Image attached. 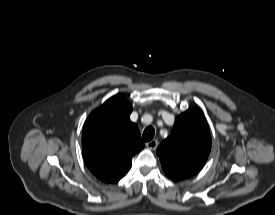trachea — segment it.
I'll use <instances>...</instances> for the list:
<instances>
[{
    "mask_svg": "<svg viewBox=\"0 0 275 215\" xmlns=\"http://www.w3.org/2000/svg\"><path fill=\"white\" fill-rule=\"evenodd\" d=\"M155 130L153 127H147L143 132V140L148 142L151 141L154 137Z\"/></svg>",
    "mask_w": 275,
    "mask_h": 215,
    "instance_id": "1",
    "label": "trachea"
}]
</instances>
